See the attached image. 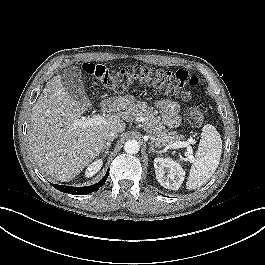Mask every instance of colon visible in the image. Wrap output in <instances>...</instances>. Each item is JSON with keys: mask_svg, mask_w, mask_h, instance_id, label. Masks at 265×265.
Wrapping results in <instances>:
<instances>
[{"mask_svg": "<svg viewBox=\"0 0 265 265\" xmlns=\"http://www.w3.org/2000/svg\"><path fill=\"white\" fill-rule=\"evenodd\" d=\"M83 70L114 92H123L134 83H142L185 101L192 99L198 84L197 77L186 70L169 71L149 65H131L112 70L101 64L85 63ZM205 115L206 107L202 103L193 104L186 110L187 121L192 126H201Z\"/></svg>", "mask_w": 265, "mask_h": 265, "instance_id": "colon-1", "label": "colon"}]
</instances>
